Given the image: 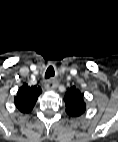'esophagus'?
<instances>
[{"mask_svg":"<svg viewBox=\"0 0 118 142\" xmlns=\"http://www.w3.org/2000/svg\"><path fill=\"white\" fill-rule=\"evenodd\" d=\"M57 87L56 83H54L53 81L49 80L45 83V88L47 90H54Z\"/></svg>","mask_w":118,"mask_h":142,"instance_id":"1","label":"esophagus"}]
</instances>
